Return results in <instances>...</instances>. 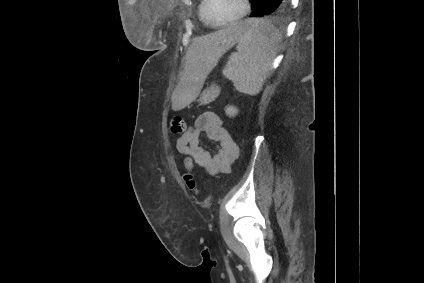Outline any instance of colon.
Listing matches in <instances>:
<instances>
[{
	"mask_svg": "<svg viewBox=\"0 0 424 283\" xmlns=\"http://www.w3.org/2000/svg\"><path fill=\"white\" fill-rule=\"evenodd\" d=\"M169 129L174 134L184 133L186 130V123L181 116H173L169 122ZM194 165L189 159L184 160V181L188 187L193 192H198L196 181L194 180L192 170Z\"/></svg>",
	"mask_w": 424,
	"mask_h": 283,
	"instance_id": "obj_1",
	"label": "colon"
}]
</instances>
